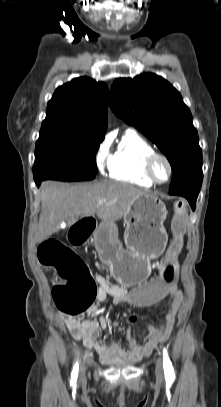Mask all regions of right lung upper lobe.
<instances>
[{
  "mask_svg": "<svg viewBox=\"0 0 221 407\" xmlns=\"http://www.w3.org/2000/svg\"><path fill=\"white\" fill-rule=\"evenodd\" d=\"M108 87L88 77L56 89L40 133H63L103 140L107 127Z\"/></svg>",
  "mask_w": 221,
  "mask_h": 407,
  "instance_id": "right-lung-upper-lobe-1",
  "label": "right lung upper lobe"
}]
</instances>
